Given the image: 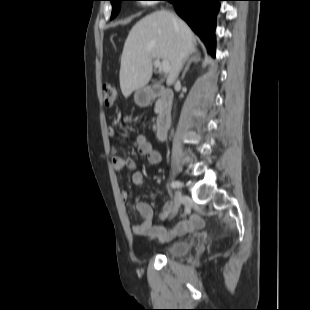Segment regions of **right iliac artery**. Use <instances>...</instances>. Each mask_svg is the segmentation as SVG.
Wrapping results in <instances>:
<instances>
[{
	"instance_id": "right-iliac-artery-1",
	"label": "right iliac artery",
	"mask_w": 310,
	"mask_h": 310,
	"mask_svg": "<svg viewBox=\"0 0 310 310\" xmlns=\"http://www.w3.org/2000/svg\"><path fill=\"white\" fill-rule=\"evenodd\" d=\"M182 184L180 183V182H175V181H173L171 184H170V186L172 187V188H177V187H179V186H181Z\"/></svg>"
}]
</instances>
